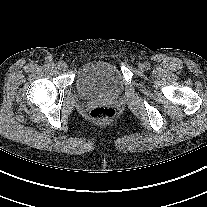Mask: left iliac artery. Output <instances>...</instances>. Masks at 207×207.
I'll return each instance as SVG.
<instances>
[{"mask_svg":"<svg viewBox=\"0 0 207 207\" xmlns=\"http://www.w3.org/2000/svg\"><path fill=\"white\" fill-rule=\"evenodd\" d=\"M146 67H147V69H150V64L146 63Z\"/></svg>","mask_w":207,"mask_h":207,"instance_id":"left-iliac-artery-1","label":"left iliac artery"}]
</instances>
